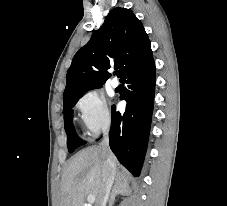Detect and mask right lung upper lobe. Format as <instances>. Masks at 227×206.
I'll return each instance as SVG.
<instances>
[{
    "mask_svg": "<svg viewBox=\"0 0 227 206\" xmlns=\"http://www.w3.org/2000/svg\"><path fill=\"white\" fill-rule=\"evenodd\" d=\"M153 56L151 44L139 19L126 8H114L102 27L73 57L67 72L63 99L102 87L107 70L119 64V77Z\"/></svg>",
    "mask_w": 227,
    "mask_h": 206,
    "instance_id": "obj_1",
    "label": "right lung upper lobe"
}]
</instances>
